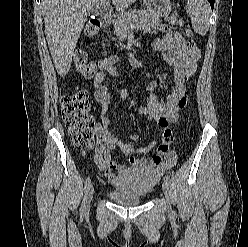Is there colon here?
<instances>
[{
    "mask_svg": "<svg viewBox=\"0 0 248 247\" xmlns=\"http://www.w3.org/2000/svg\"><path fill=\"white\" fill-rule=\"evenodd\" d=\"M100 24L96 19L87 22L84 33L92 38L99 34ZM188 38L193 37L190 29L185 31ZM73 63L76 70L85 78H92L97 74V64L88 60L87 52L83 48L75 51ZM61 110L65 126L71 142L79 149H88L93 145L95 120L90 111L88 95L82 90L65 95L61 99Z\"/></svg>",
    "mask_w": 248,
    "mask_h": 247,
    "instance_id": "1",
    "label": "colon"
}]
</instances>
